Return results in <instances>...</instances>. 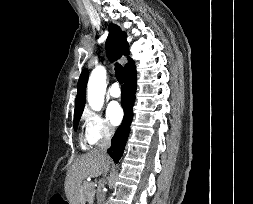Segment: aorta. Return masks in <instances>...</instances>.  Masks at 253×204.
<instances>
[{"mask_svg":"<svg viewBox=\"0 0 253 204\" xmlns=\"http://www.w3.org/2000/svg\"><path fill=\"white\" fill-rule=\"evenodd\" d=\"M105 91L106 69L98 66L92 71L87 85L88 103L93 110H101L104 103Z\"/></svg>","mask_w":253,"mask_h":204,"instance_id":"1","label":"aorta"}]
</instances>
